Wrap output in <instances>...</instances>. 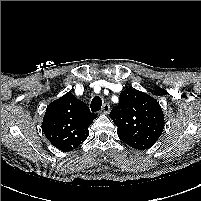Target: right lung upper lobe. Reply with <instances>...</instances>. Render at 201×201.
<instances>
[{
	"mask_svg": "<svg viewBox=\"0 0 201 201\" xmlns=\"http://www.w3.org/2000/svg\"><path fill=\"white\" fill-rule=\"evenodd\" d=\"M96 117L84 102L68 92L48 105L42 129L56 148L67 152L84 142Z\"/></svg>",
	"mask_w": 201,
	"mask_h": 201,
	"instance_id": "1",
	"label": "right lung upper lobe"
}]
</instances>
